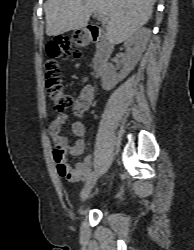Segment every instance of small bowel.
Returning <instances> with one entry per match:
<instances>
[{
  "instance_id": "1",
  "label": "small bowel",
  "mask_w": 194,
  "mask_h": 250,
  "mask_svg": "<svg viewBox=\"0 0 194 250\" xmlns=\"http://www.w3.org/2000/svg\"><path fill=\"white\" fill-rule=\"evenodd\" d=\"M95 96V89L92 84L85 83L82 85L77 104L73 109V113L77 117H82L90 108ZM70 119V114L61 113L56 115L49 125V132L55 144L56 150H63L72 156H79L82 154L85 147L86 127L80 120L73 121L71 124V131L76 137L74 143H70L63 135V125ZM54 159L57 165V172L61 177H65L71 183H78L84 179L92 165V157L86 156L81 162H78L74 168L67 165V170H61V162L55 155Z\"/></svg>"
}]
</instances>
